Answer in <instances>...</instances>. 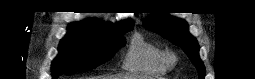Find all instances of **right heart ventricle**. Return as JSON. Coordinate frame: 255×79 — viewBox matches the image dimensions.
I'll return each instance as SVG.
<instances>
[{"mask_svg":"<svg viewBox=\"0 0 255 79\" xmlns=\"http://www.w3.org/2000/svg\"><path fill=\"white\" fill-rule=\"evenodd\" d=\"M123 68L129 72L162 75L167 71L163 51L143 35L136 33L125 54Z\"/></svg>","mask_w":255,"mask_h":79,"instance_id":"right-heart-ventricle-1","label":"right heart ventricle"}]
</instances>
